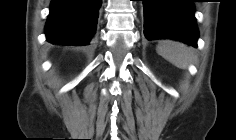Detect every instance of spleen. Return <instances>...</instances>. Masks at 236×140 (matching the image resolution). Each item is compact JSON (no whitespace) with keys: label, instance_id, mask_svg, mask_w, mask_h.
<instances>
[{"label":"spleen","instance_id":"3e777b00","mask_svg":"<svg viewBox=\"0 0 236 140\" xmlns=\"http://www.w3.org/2000/svg\"><path fill=\"white\" fill-rule=\"evenodd\" d=\"M158 53L180 69H186L196 59L191 48L175 41H162L157 46Z\"/></svg>","mask_w":236,"mask_h":140}]
</instances>
